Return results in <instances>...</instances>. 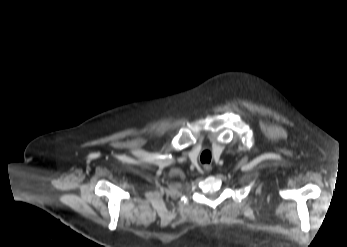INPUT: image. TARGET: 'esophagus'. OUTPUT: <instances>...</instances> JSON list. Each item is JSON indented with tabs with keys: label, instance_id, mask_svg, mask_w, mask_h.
I'll list each match as a JSON object with an SVG mask.
<instances>
[{
	"label": "esophagus",
	"instance_id": "obj_1",
	"mask_svg": "<svg viewBox=\"0 0 347 247\" xmlns=\"http://www.w3.org/2000/svg\"><path fill=\"white\" fill-rule=\"evenodd\" d=\"M204 169L207 171V172H210L212 170V166L211 165H205L204 166Z\"/></svg>",
	"mask_w": 347,
	"mask_h": 247
}]
</instances>
